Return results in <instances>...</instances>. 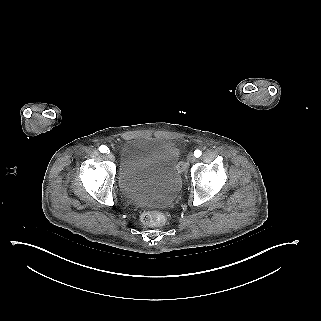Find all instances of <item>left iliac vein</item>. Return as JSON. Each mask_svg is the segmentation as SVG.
<instances>
[{"label":"left iliac vein","mask_w":321,"mask_h":321,"mask_svg":"<svg viewBox=\"0 0 321 321\" xmlns=\"http://www.w3.org/2000/svg\"><path fill=\"white\" fill-rule=\"evenodd\" d=\"M189 161H190L191 163H194V162L196 161V158H195V156H194L193 154H190V155H189Z\"/></svg>","instance_id":"4c4485c4"}]
</instances>
